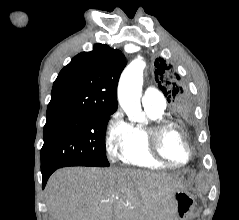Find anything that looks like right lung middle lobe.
<instances>
[{"instance_id":"obj_1","label":"right lung middle lobe","mask_w":239,"mask_h":220,"mask_svg":"<svg viewBox=\"0 0 239 220\" xmlns=\"http://www.w3.org/2000/svg\"><path fill=\"white\" fill-rule=\"evenodd\" d=\"M112 113H68L47 116L41 172L65 166H109L106 125Z\"/></svg>"}]
</instances>
